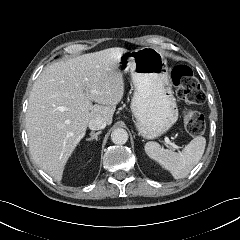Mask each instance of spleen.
<instances>
[{
  "instance_id": "3e777b00",
  "label": "spleen",
  "mask_w": 240,
  "mask_h": 240,
  "mask_svg": "<svg viewBox=\"0 0 240 240\" xmlns=\"http://www.w3.org/2000/svg\"><path fill=\"white\" fill-rule=\"evenodd\" d=\"M206 146V139L198 136L190 141L184 149L173 152L161 148L157 142H147L144 146L146 154L169 170L175 179L186 177L202 158Z\"/></svg>"
}]
</instances>
